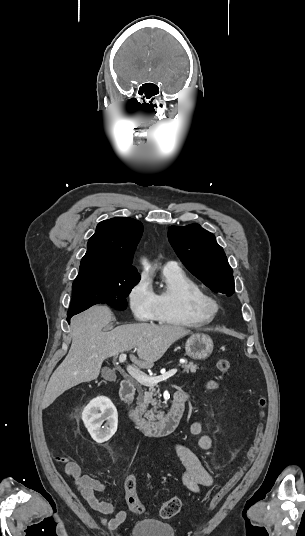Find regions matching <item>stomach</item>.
Returning a JSON list of instances; mask_svg holds the SVG:
<instances>
[{
	"label": "stomach",
	"instance_id": "stomach-1",
	"mask_svg": "<svg viewBox=\"0 0 305 536\" xmlns=\"http://www.w3.org/2000/svg\"><path fill=\"white\" fill-rule=\"evenodd\" d=\"M185 350L187 356L193 360H206L213 352V342L206 334H193L188 338Z\"/></svg>",
	"mask_w": 305,
	"mask_h": 536
}]
</instances>
